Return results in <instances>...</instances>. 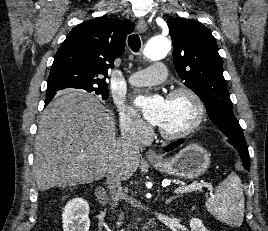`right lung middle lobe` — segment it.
<instances>
[{
	"label": "right lung middle lobe",
	"mask_w": 268,
	"mask_h": 231,
	"mask_svg": "<svg viewBox=\"0 0 268 231\" xmlns=\"http://www.w3.org/2000/svg\"><path fill=\"white\" fill-rule=\"evenodd\" d=\"M58 89H47V93L49 92H53V91H57ZM88 92H92L94 94H97V95H101L102 96V99L103 100H106L108 98V88L107 87H104V88H96V87H90V88H87V89H84Z\"/></svg>",
	"instance_id": "obj_1"
}]
</instances>
